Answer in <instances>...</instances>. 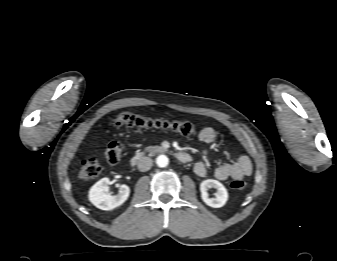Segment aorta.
I'll return each instance as SVG.
<instances>
[{
  "label": "aorta",
  "instance_id": "obj_1",
  "mask_svg": "<svg viewBox=\"0 0 337 261\" xmlns=\"http://www.w3.org/2000/svg\"><path fill=\"white\" fill-rule=\"evenodd\" d=\"M156 164L159 166V167H166L168 164H169V159L166 155H159L157 158H156Z\"/></svg>",
  "mask_w": 337,
  "mask_h": 261
}]
</instances>
